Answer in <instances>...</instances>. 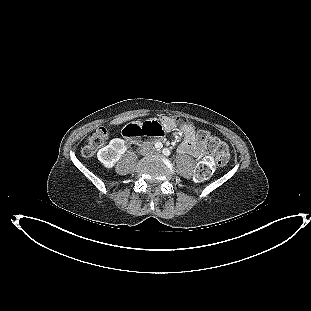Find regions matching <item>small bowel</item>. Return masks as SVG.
<instances>
[{
	"instance_id": "small-bowel-1",
	"label": "small bowel",
	"mask_w": 311,
	"mask_h": 311,
	"mask_svg": "<svg viewBox=\"0 0 311 311\" xmlns=\"http://www.w3.org/2000/svg\"><path fill=\"white\" fill-rule=\"evenodd\" d=\"M161 127L164 130H173L177 127L181 129L184 135V141L180 144L178 151L182 154H189L194 157L200 156V150L195 142V133L193 127L186 122L178 123L174 118L163 116L160 118Z\"/></svg>"
}]
</instances>
